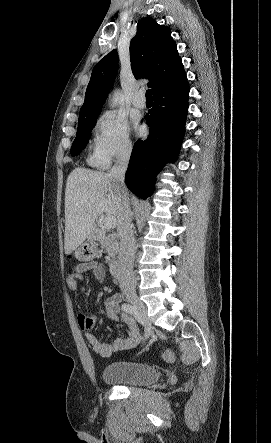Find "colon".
Masks as SVG:
<instances>
[{
    "mask_svg": "<svg viewBox=\"0 0 271 443\" xmlns=\"http://www.w3.org/2000/svg\"><path fill=\"white\" fill-rule=\"evenodd\" d=\"M97 257V250L92 243H83L78 248L73 250L68 259L73 262L89 263ZM163 358L167 362H171L174 358V354L171 350H167Z\"/></svg>",
    "mask_w": 271,
    "mask_h": 443,
    "instance_id": "1",
    "label": "colon"
}]
</instances>
